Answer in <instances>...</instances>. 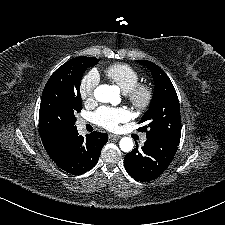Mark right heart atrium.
<instances>
[{
  "instance_id": "1",
  "label": "right heart atrium",
  "mask_w": 225,
  "mask_h": 225,
  "mask_svg": "<svg viewBox=\"0 0 225 225\" xmlns=\"http://www.w3.org/2000/svg\"><path fill=\"white\" fill-rule=\"evenodd\" d=\"M99 82V76L96 71L91 70L87 72L80 83L79 94L80 98L86 103L91 104L95 102V90Z\"/></svg>"
}]
</instances>
